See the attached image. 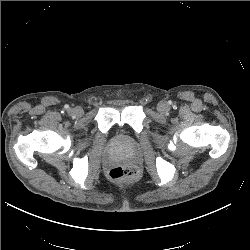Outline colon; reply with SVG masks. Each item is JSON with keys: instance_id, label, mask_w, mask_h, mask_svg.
<instances>
[{"instance_id": "5ec220e1", "label": "colon", "mask_w": 250, "mask_h": 250, "mask_svg": "<svg viewBox=\"0 0 250 250\" xmlns=\"http://www.w3.org/2000/svg\"><path fill=\"white\" fill-rule=\"evenodd\" d=\"M109 176L114 181H126L134 179L137 173L128 167L115 166L110 169Z\"/></svg>"}]
</instances>
